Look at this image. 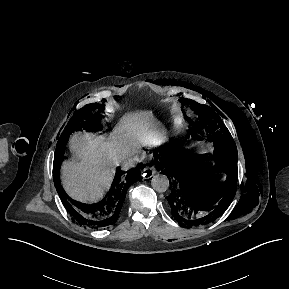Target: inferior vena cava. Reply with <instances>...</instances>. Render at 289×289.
I'll return each mask as SVG.
<instances>
[{"label":"inferior vena cava","mask_w":289,"mask_h":289,"mask_svg":"<svg viewBox=\"0 0 289 289\" xmlns=\"http://www.w3.org/2000/svg\"><path fill=\"white\" fill-rule=\"evenodd\" d=\"M136 166V162L131 160L129 162H127V165H126V168H132V167H135Z\"/></svg>","instance_id":"602c4592"}]
</instances>
